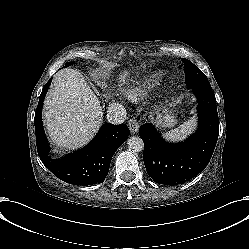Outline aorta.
I'll return each instance as SVG.
<instances>
[{"mask_svg":"<svg viewBox=\"0 0 249 249\" xmlns=\"http://www.w3.org/2000/svg\"><path fill=\"white\" fill-rule=\"evenodd\" d=\"M129 150L132 152H142L144 150V142L140 137L132 136L127 140Z\"/></svg>","mask_w":249,"mask_h":249,"instance_id":"aorta-1","label":"aorta"}]
</instances>
